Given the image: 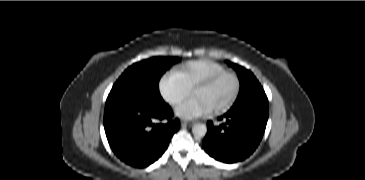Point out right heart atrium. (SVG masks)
I'll list each match as a JSON object with an SVG mask.
<instances>
[{"label": "right heart atrium", "mask_w": 365, "mask_h": 180, "mask_svg": "<svg viewBox=\"0 0 365 180\" xmlns=\"http://www.w3.org/2000/svg\"><path fill=\"white\" fill-rule=\"evenodd\" d=\"M174 76H168L161 80L160 91L163 97L172 105H178L186 99L183 92L175 87Z\"/></svg>", "instance_id": "1"}]
</instances>
